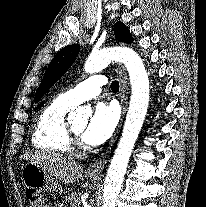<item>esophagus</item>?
<instances>
[{
    "mask_svg": "<svg viewBox=\"0 0 206 207\" xmlns=\"http://www.w3.org/2000/svg\"><path fill=\"white\" fill-rule=\"evenodd\" d=\"M119 70V78H120V91H119V98L121 104V118L119 124L116 128L115 133L113 134L109 144L106 148L101 152L100 156L88 167L87 172L89 175L94 177H101L102 171L107 161V157L110 153V150L115 143L117 136L119 134L120 128L123 123L124 116L127 110V100H128V82H127V73L123 65L118 66Z\"/></svg>",
    "mask_w": 206,
    "mask_h": 207,
    "instance_id": "obj_1",
    "label": "esophagus"
}]
</instances>
